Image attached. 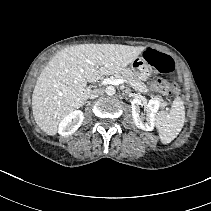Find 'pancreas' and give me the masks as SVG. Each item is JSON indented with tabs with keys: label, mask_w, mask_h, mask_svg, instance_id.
<instances>
[{
	"label": "pancreas",
	"mask_w": 211,
	"mask_h": 211,
	"mask_svg": "<svg viewBox=\"0 0 211 211\" xmlns=\"http://www.w3.org/2000/svg\"><path fill=\"white\" fill-rule=\"evenodd\" d=\"M112 79H123L130 87H132L135 91L146 93L149 91L148 87L138 80L133 72L130 69H124L119 72H116ZM152 100L159 103L160 107H165L167 102H165L161 96H153L151 95Z\"/></svg>",
	"instance_id": "pancreas-1"
}]
</instances>
